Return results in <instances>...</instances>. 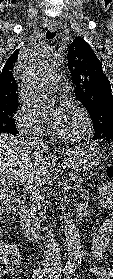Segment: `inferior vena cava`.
I'll return each mask as SVG.
<instances>
[{"instance_id": "inferior-vena-cava-1", "label": "inferior vena cava", "mask_w": 113, "mask_h": 279, "mask_svg": "<svg viewBox=\"0 0 113 279\" xmlns=\"http://www.w3.org/2000/svg\"><path fill=\"white\" fill-rule=\"evenodd\" d=\"M29 147L37 152L38 154H42L46 151V145L43 142V139L39 136L34 137L29 142ZM53 225L50 223L46 228V242H45V250L43 255V266L45 272L48 274H59L62 268L61 263V254L60 248L55 236L53 234Z\"/></svg>"}]
</instances>
